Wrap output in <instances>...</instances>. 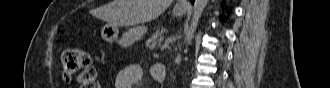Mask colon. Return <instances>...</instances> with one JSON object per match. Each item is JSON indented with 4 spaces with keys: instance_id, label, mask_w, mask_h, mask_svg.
Returning <instances> with one entry per match:
<instances>
[{
    "instance_id": "obj_1",
    "label": "colon",
    "mask_w": 330,
    "mask_h": 88,
    "mask_svg": "<svg viewBox=\"0 0 330 88\" xmlns=\"http://www.w3.org/2000/svg\"><path fill=\"white\" fill-rule=\"evenodd\" d=\"M75 75L82 88H99L92 58L81 48H70L62 53L63 79L69 82Z\"/></svg>"
}]
</instances>
